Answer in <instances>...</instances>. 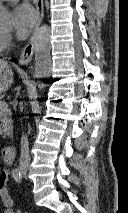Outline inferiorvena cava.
Masks as SVG:
<instances>
[{"instance_id": "inferior-vena-cava-1", "label": "inferior vena cava", "mask_w": 128, "mask_h": 213, "mask_svg": "<svg viewBox=\"0 0 128 213\" xmlns=\"http://www.w3.org/2000/svg\"><path fill=\"white\" fill-rule=\"evenodd\" d=\"M30 165L29 143L27 136L23 134L21 141L20 167H28Z\"/></svg>"}]
</instances>
